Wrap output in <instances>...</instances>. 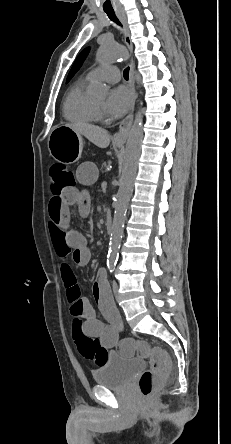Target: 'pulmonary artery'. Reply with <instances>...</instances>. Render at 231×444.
<instances>
[{"mask_svg": "<svg viewBox=\"0 0 231 444\" xmlns=\"http://www.w3.org/2000/svg\"><path fill=\"white\" fill-rule=\"evenodd\" d=\"M86 78L90 81L101 80L114 83L120 79V72L116 66L104 65L102 67H98L89 71L86 75Z\"/></svg>", "mask_w": 231, "mask_h": 444, "instance_id": "1", "label": "pulmonary artery"}]
</instances>
